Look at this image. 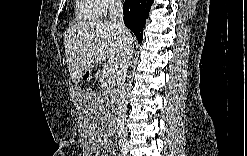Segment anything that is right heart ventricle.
<instances>
[{"instance_id":"obj_1","label":"right heart ventricle","mask_w":247,"mask_h":156,"mask_svg":"<svg viewBox=\"0 0 247 156\" xmlns=\"http://www.w3.org/2000/svg\"><path fill=\"white\" fill-rule=\"evenodd\" d=\"M75 13L80 20H94L101 15L96 1H79Z\"/></svg>"}]
</instances>
